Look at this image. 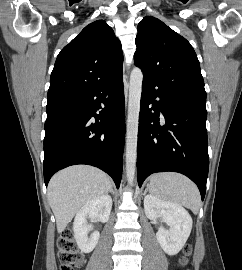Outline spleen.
<instances>
[{
  "label": "spleen",
  "mask_w": 242,
  "mask_h": 270,
  "mask_svg": "<svg viewBox=\"0 0 242 270\" xmlns=\"http://www.w3.org/2000/svg\"><path fill=\"white\" fill-rule=\"evenodd\" d=\"M150 193L155 197L183 205L195 214L201 205V197L197 186L187 177L179 173H157L151 177Z\"/></svg>",
  "instance_id": "spleen-1"
}]
</instances>
